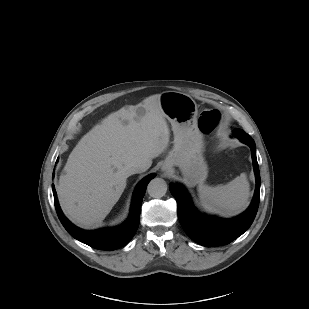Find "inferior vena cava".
<instances>
[{
	"label": "inferior vena cava",
	"mask_w": 309,
	"mask_h": 309,
	"mask_svg": "<svg viewBox=\"0 0 309 309\" xmlns=\"http://www.w3.org/2000/svg\"><path fill=\"white\" fill-rule=\"evenodd\" d=\"M146 170H147V168H146V166H144V165H135V166L131 167V168L127 171V173H128V175H132V174H135V173L144 172V171H146Z\"/></svg>",
	"instance_id": "inferior-vena-cava-1"
}]
</instances>
